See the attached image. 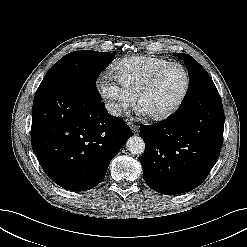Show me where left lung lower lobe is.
<instances>
[{
  "label": "left lung lower lobe",
  "mask_w": 247,
  "mask_h": 247,
  "mask_svg": "<svg viewBox=\"0 0 247 247\" xmlns=\"http://www.w3.org/2000/svg\"><path fill=\"white\" fill-rule=\"evenodd\" d=\"M191 105L169 119L141 125L146 148L140 162L153 190L175 195L193 190L216 163L223 142L224 111L213 82L199 84Z\"/></svg>",
  "instance_id": "1"
}]
</instances>
